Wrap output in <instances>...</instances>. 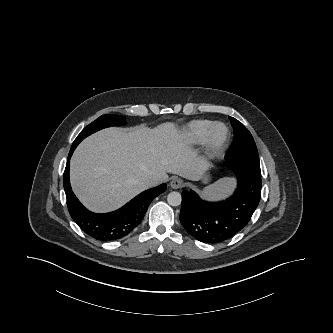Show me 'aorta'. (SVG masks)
I'll use <instances>...</instances> for the list:
<instances>
[{"instance_id": "obj_1", "label": "aorta", "mask_w": 333, "mask_h": 333, "mask_svg": "<svg viewBox=\"0 0 333 333\" xmlns=\"http://www.w3.org/2000/svg\"><path fill=\"white\" fill-rule=\"evenodd\" d=\"M182 197L179 192H170L167 196V202L171 206H178L181 204Z\"/></svg>"}]
</instances>
